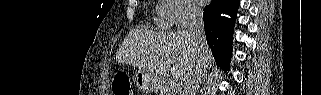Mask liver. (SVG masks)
<instances>
[{
  "mask_svg": "<svg viewBox=\"0 0 321 95\" xmlns=\"http://www.w3.org/2000/svg\"><path fill=\"white\" fill-rule=\"evenodd\" d=\"M204 58L206 66L211 67L214 61L207 45ZM116 60L139 68L152 79L170 72L185 81L197 66L198 49L188 30L165 34L134 29L124 39Z\"/></svg>",
  "mask_w": 321,
  "mask_h": 95,
  "instance_id": "obj_1",
  "label": "liver"
}]
</instances>
